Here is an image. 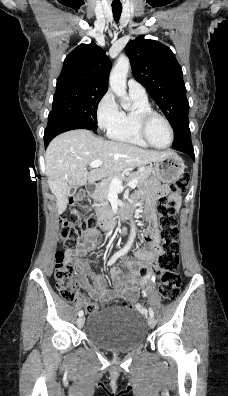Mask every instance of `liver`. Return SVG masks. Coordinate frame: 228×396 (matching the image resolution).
I'll return each mask as SVG.
<instances>
[{
  "label": "liver",
  "instance_id": "6515ba94",
  "mask_svg": "<svg viewBox=\"0 0 228 396\" xmlns=\"http://www.w3.org/2000/svg\"><path fill=\"white\" fill-rule=\"evenodd\" d=\"M170 153L104 140L85 129L60 134L51 141L45 154L48 184L56 197L58 214L67 207L71 186L115 178L123 170L147 165ZM94 160H102L103 164L88 172L87 165Z\"/></svg>",
  "mask_w": 228,
  "mask_h": 396
}]
</instances>
